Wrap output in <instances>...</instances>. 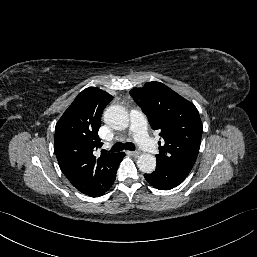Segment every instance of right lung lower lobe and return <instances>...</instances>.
Wrapping results in <instances>:
<instances>
[{
  "label": "right lung lower lobe",
  "instance_id": "obj_1",
  "mask_svg": "<svg viewBox=\"0 0 257 257\" xmlns=\"http://www.w3.org/2000/svg\"><path fill=\"white\" fill-rule=\"evenodd\" d=\"M124 156H125V153H123V152H121V153L118 154V156H117V158H116V162H115V164H114V167L112 168V172H111V175H110V179H109V181H108V184H107V186L105 187V189H104L98 196L104 194V193L113 185L114 180H115V178H116L117 168H118L120 162L122 161V159L124 158Z\"/></svg>",
  "mask_w": 257,
  "mask_h": 257
}]
</instances>
